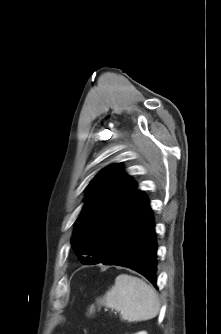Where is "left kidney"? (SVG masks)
I'll return each instance as SVG.
<instances>
[{
	"instance_id": "1",
	"label": "left kidney",
	"mask_w": 221,
	"mask_h": 334,
	"mask_svg": "<svg viewBox=\"0 0 221 334\" xmlns=\"http://www.w3.org/2000/svg\"><path fill=\"white\" fill-rule=\"evenodd\" d=\"M135 334H147V332L142 331V332H138V333H135Z\"/></svg>"
}]
</instances>
